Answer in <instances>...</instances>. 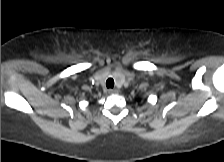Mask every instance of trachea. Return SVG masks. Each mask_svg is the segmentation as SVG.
Instances as JSON below:
<instances>
[{
	"instance_id": "obj_1",
	"label": "trachea",
	"mask_w": 224,
	"mask_h": 162,
	"mask_svg": "<svg viewBox=\"0 0 224 162\" xmlns=\"http://www.w3.org/2000/svg\"><path fill=\"white\" fill-rule=\"evenodd\" d=\"M106 86H107V88H113L114 87V80L112 78L107 79Z\"/></svg>"
}]
</instances>
